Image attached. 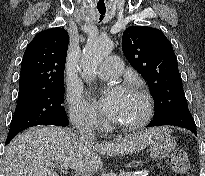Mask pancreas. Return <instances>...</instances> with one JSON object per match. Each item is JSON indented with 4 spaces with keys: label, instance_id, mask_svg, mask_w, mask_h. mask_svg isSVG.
<instances>
[{
    "label": "pancreas",
    "instance_id": "1",
    "mask_svg": "<svg viewBox=\"0 0 205 176\" xmlns=\"http://www.w3.org/2000/svg\"><path fill=\"white\" fill-rule=\"evenodd\" d=\"M126 176H136V175H134L133 173H128L126 174Z\"/></svg>",
    "mask_w": 205,
    "mask_h": 176
}]
</instances>
